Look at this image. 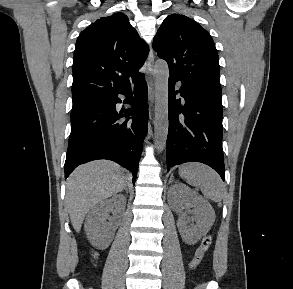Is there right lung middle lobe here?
Here are the masks:
<instances>
[{
  "mask_svg": "<svg viewBox=\"0 0 293 289\" xmlns=\"http://www.w3.org/2000/svg\"><path fill=\"white\" fill-rule=\"evenodd\" d=\"M99 101H91V102H84V103H78V104H73L71 115L77 114L79 112H82L89 107L95 105Z\"/></svg>",
  "mask_w": 293,
  "mask_h": 289,
  "instance_id": "dd1d6c3e",
  "label": "right lung middle lobe"
}]
</instances>
